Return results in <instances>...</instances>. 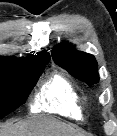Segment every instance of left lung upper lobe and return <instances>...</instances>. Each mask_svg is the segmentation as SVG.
<instances>
[{
  "instance_id": "left-lung-upper-lobe-1",
  "label": "left lung upper lobe",
  "mask_w": 117,
  "mask_h": 136,
  "mask_svg": "<svg viewBox=\"0 0 117 136\" xmlns=\"http://www.w3.org/2000/svg\"><path fill=\"white\" fill-rule=\"evenodd\" d=\"M52 57L59 66L89 86L99 82L98 64L93 55L77 51L64 42L52 49Z\"/></svg>"
}]
</instances>
